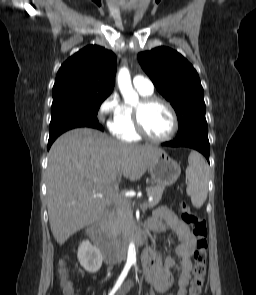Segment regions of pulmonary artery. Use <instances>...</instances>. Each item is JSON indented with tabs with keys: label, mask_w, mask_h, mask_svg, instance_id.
Returning <instances> with one entry per match:
<instances>
[{
	"label": "pulmonary artery",
	"mask_w": 256,
	"mask_h": 295,
	"mask_svg": "<svg viewBox=\"0 0 256 295\" xmlns=\"http://www.w3.org/2000/svg\"><path fill=\"white\" fill-rule=\"evenodd\" d=\"M133 85L138 91L144 93H152L154 89L152 81L149 78L142 75H137L134 77Z\"/></svg>",
	"instance_id": "1"
}]
</instances>
